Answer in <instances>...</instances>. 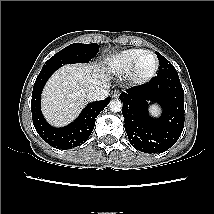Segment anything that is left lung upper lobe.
Returning <instances> with one entry per match:
<instances>
[{
	"mask_svg": "<svg viewBox=\"0 0 214 214\" xmlns=\"http://www.w3.org/2000/svg\"><path fill=\"white\" fill-rule=\"evenodd\" d=\"M156 55L158 57L159 64H160L158 75L178 74L174 66L165 57H163L158 52H156Z\"/></svg>",
	"mask_w": 214,
	"mask_h": 214,
	"instance_id": "5c2ea615",
	"label": "left lung upper lobe"
}]
</instances>
